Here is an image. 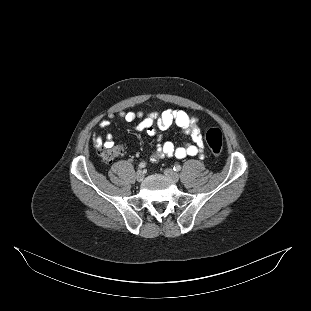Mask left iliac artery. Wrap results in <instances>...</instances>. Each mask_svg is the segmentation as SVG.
Returning a JSON list of instances; mask_svg holds the SVG:
<instances>
[{"label": "left iliac artery", "instance_id": "1", "mask_svg": "<svg viewBox=\"0 0 311 311\" xmlns=\"http://www.w3.org/2000/svg\"><path fill=\"white\" fill-rule=\"evenodd\" d=\"M174 171L178 172L181 170V166L176 164L174 167H173Z\"/></svg>", "mask_w": 311, "mask_h": 311}]
</instances>
